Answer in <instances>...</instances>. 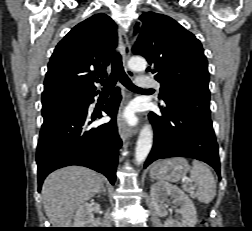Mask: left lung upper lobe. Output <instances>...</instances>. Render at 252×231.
Returning <instances> with one entry per match:
<instances>
[{
    "mask_svg": "<svg viewBox=\"0 0 252 231\" xmlns=\"http://www.w3.org/2000/svg\"><path fill=\"white\" fill-rule=\"evenodd\" d=\"M135 33L140 34L133 46L135 55L144 56L161 84V97L183 88L209 93L207 59L200 41L172 18L147 12L140 16Z\"/></svg>",
    "mask_w": 252,
    "mask_h": 231,
    "instance_id": "1",
    "label": "left lung upper lobe"
}]
</instances>
